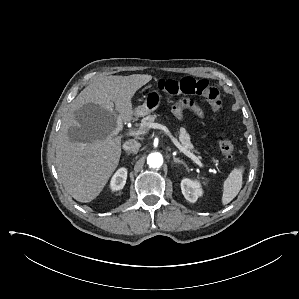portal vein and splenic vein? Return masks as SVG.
<instances>
[{"label": "portal vein and splenic vein", "mask_w": 299, "mask_h": 299, "mask_svg": "<svg viewBox=\"0 0 299 299\" xmlns=\"http://www.w3.org/2000/svg\"><path fill=\"white\" fill-rule=\"evenodd\" d=\"M111 105H113V104H111ZM150 128L160 129V130L164 131L166 133V135L170 138V140L173 142V144L181 152H183L186 156L191 158L199 167H204V164L199 160V158L197 156H195L193 153H191L189 150L184 148L179 143V141L172 135V133L169 131V129L165 125H162V124H159V123H152V124H150ZM121 129H122V121H121V119H117V126H116V129L114 131V134H118ZM143 133H144L143 131H137L135 133H130V134L140 135V134H143Z\"/></svg>", "instance_id": "obj_1"}]
</instances>
